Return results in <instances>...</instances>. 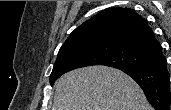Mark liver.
Listing matches in <instances>:
<instances>
[{
    "mask_svg": "<svg viewBox=\"0 0 171 110\" xmlns=\"http://www.w3.org/2000/svg\"><path fill=\"white\" fill-rule=\"evenodd\" d=\"M52 110H153L140 86L107 66H89L62 75Z\"/></svg>",
    "mask_w": 171,
    "mask_h": 110,
    "instance_id": "1",
    "label": "liver"
}]
</instances>
